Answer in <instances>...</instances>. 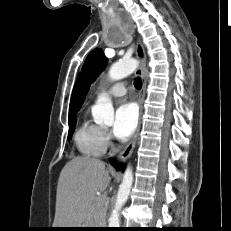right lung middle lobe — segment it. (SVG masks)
<instances>
[{
    "instance_id": "1",
    "label": "right lung middle lobe",
    "mask_w": 231,
    "mask_h": 231,
    "mask_svg": "<svg viewBox=\"0 0 231 231\" xmlns=\"http://www.w3.org/2000/svg\"><path fill=\"white\" fill-rule=\"evenodd\" d=\"M68 124H69L68 138L70 139L72 137L74 129H75L76 117L69 118Z\"/></svg>"
}]
</instances>
